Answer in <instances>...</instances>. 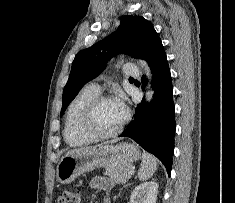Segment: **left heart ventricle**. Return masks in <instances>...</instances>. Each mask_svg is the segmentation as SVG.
I'll use <instances>...</instances> for the list:
<instances>
[{
  "mask_svg": "<svg viewBox=\"0 0 235 203\" xmlns=\"http://www.w3.org/2000/svg\"><path fill=\"white\" fill-rule=\"evenodd\" d=\"M124 114V108L115 100L104 101L95 111V127L102 132L112 131L121 123Z\"/></svg>",
  "mask_w": 235,
  "mask_h": 203,
  "instance_id": "1",
  "label": "left heart ventricle"
}]
</instances>
